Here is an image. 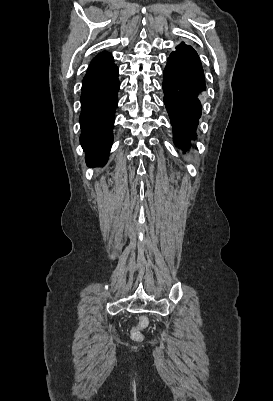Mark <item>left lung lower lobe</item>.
<instances>
[{
    "instance_id": "1",
    "label": "left lung lower lobe",
    "mask_w": 273,
    "mask_h": 401,
    "mask_svg": "<svg viewBox=\"0 0 273 401\" xmlns=\"http://www.w3.org/2000/svg\"><path fill=\"white\" fill-rule=\"evenodd\" d=\"M206 89L200 58L196 51L182 42L167 59L163 71L164 103L173 127L176 146L189 148L195 139L202 106L198 94Z\"/></svg>"
}]
</instances>
